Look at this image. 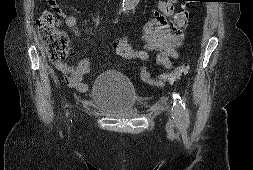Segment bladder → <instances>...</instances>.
Segmentation results:
<instances>
[{
    "mask_svg": "<svg viewBox=\"0 0 253 170\" xmlns=\"http://www.w3.org/2000/svg\"><path fill=\"white\" fill-rule=\"evenodd\" d=\"M90 102L104 114L127 116L138 107V95L129 78L117 70H105L94 81Z\"/></svg>",
    "mask_w": 253,
    "mask_h": 170,
    "instance_id": "1",
    "label": "bladder"
}]
</instances>
